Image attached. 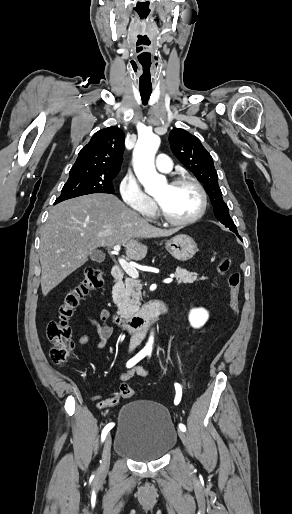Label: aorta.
<instances>
[{"label":"aorta","mask_w":292,"mask_h":514,"mask_svg":"<svg viewBox=\"0 0 292 514\" xmlns=\"http://www.w3.org/2000/svg\"><path fill=\"white\" fill-rule=\"evenodd\" d=\"M160 138L154 134H146L139 138L134 150V172L144 186L147 194L153 196L160 186H166L165 176H159L154 166V156L159 148ZM153 338H149L146 348H151Z\"/></svg>","instance_id":"aorta-1"}]
</instances>
